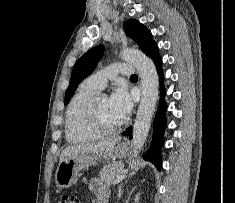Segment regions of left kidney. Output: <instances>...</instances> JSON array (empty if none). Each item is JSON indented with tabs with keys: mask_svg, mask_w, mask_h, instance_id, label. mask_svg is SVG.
I'll list each match as a JSON object with an SVG mask.
<instances>
[{
	"mask_svg": "<svg viewBox=\"0 0 235 203\" xmlns=\"http://www.w3.org/2000/svg\"><path fill=\"white\" fill-rule=\"evenodd\" d=\"M139 201V194L136 195L135 202Z\"/></svg>",
	"mask_w": 235,
	"mask_h": 203,
	"instance_id": "5707ae66",
	"label": "left kidney"
}]
</instances>
